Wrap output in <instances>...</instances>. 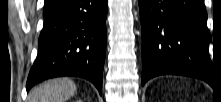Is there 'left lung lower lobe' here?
Here are the masks:
<instances>
[{
  "label": "left lung lower lobe",
  "mask_w": 221,
  "mask_h": 102,
  "mask_svg": "<svg viewBox=\"0 0 221 102\" xmlns=\"http://www.w3.org/2000/svg\"><path fill=\"white\" fill-rule=\"evenodd\" d=\"M142 85L155 76L195 77L212 84L211 35L203 0H138Z\"/></svg>",
  "instance_id": "obj_1"
}]
</instances>
